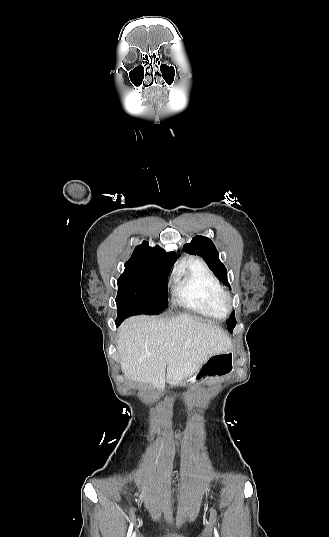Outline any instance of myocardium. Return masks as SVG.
Here are the masks:
<instances>
[{"label": "myocardium", "instance_id": "obj_1", "mask_svg": "<svg viewBox=\"0 0 329 537\" xmlns=\"http://www.w3.org/2000/svg\"><path fill=\"white\" fill-rule=\"evenodd\" d=\"M218 303L225 312L232 310L233 297L230 292L222 289L218 295Z\"/></svg>", "mask_w": 329, "mask_h": 537}]
</instances>
